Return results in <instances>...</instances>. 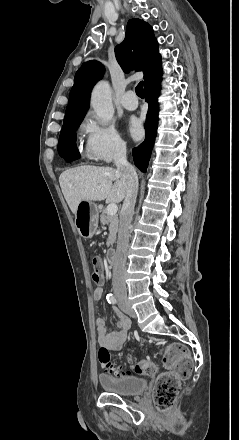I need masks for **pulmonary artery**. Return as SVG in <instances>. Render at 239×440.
<instances>
[{
  "instance_id": "1",
  "label": "pulmonary artery",
  "mask_w": 239,
  "mask_h": 440,
  "mask_svg": "<svg viewBox=\"0 0 239 440\" xmlns=\"http://www.w3.org/2000/svg\"><path fill=\"white\" fill-rule=\"evenodd\" d=\"M134 91H127L122 97L120 104L127 110H135L138 107V103L128 101V97L134 96Z\"/></svg>"
}]
</instances>
